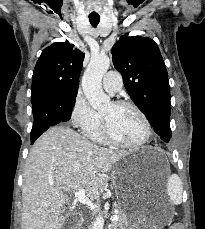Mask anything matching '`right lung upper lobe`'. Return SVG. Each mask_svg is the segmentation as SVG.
Returning <instances> with one entry per match:
<instances>
[{
  "instance_id": "right-lung-upper-lobe-1",
  "label": "right lung upper lobe",
  "mask_w": 205,
  "mask_h": 229,
  "mask_svg": "<svg viewBox=\"0 0 205 229\" xmlns=\"http://www.w3.org/2000/svg\"><path fill=\"white\" fill-rule=\"evenodd\" d=\"M84 53L69 42H56L45 48L32 77V101L58 93L78 91Z\"/></svg>"
}]
</instances>
